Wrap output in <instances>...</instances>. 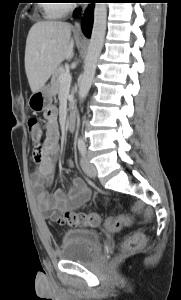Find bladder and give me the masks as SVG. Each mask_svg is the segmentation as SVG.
Returning a JSON list of instances; mask_svg holds the SVG:
<instances>
[{"label": "bladder", "instance_id": "obj_1", "mask_svg": "<svg viewBox=\"0 0 181 300\" xmlns=\"http://www.w3.org/2000/svg\"><path fill=\"white\" fill-rule=\"evenodd\" d=\"M101 234L88 228H73L62 237L60 256L64 261L89 260L99 249Z\"/></svg>", "mask_w": 181, "mask_h": 300}]
</instances>
